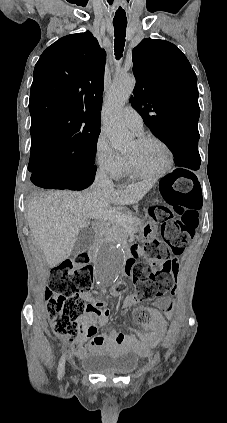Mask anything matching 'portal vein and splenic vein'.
Instances as JSON below:
<instances>
[{
	"label": "portal vein and splenic vein",
	"instance_id": "18ae733b",
	"mask_svg": "<svg viewBox=\"0 0 227 423\" xmlns=\"http://www.w3.org/2000/svg\"><path fill=\"white\" fill-rule=\"evenodd\" d=\"M93 217H100V219H112L118 223H126V221H133V217L120 213V211L100 210L98 214H93Z\"/></svg>",
	"mask_w": 227,
	"mask_h": 423
}]
</instances>
